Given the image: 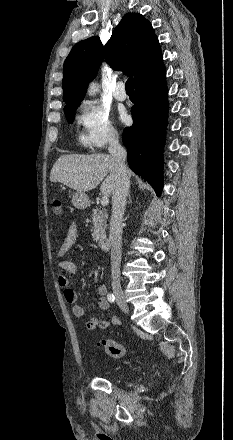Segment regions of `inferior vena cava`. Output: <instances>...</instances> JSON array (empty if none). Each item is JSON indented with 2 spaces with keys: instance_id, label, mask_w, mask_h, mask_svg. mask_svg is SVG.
<instances>
[{
  "instance_id": "inferior-vena-cava-1",
  "label": "inferior vena cava",
  "mask_w": 233,
  "mask_h": 440,
  "mask_svg": "<svg viewBox=\"0 0 233 440\" xmlns=\"http://www.w3.org/2000/svg\"><path fill=\"white\" fill-rule=\"evenodd\" d=\"M108 151L115 161L117 179L112 195V216L110 219L109 242L111 245V277L113 284L120 283V263L122 259V220L130 180L125 165L126 151L120 145L118 136L109 143Z\"/></svg>"
}]
</instances>
